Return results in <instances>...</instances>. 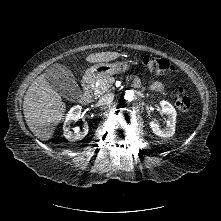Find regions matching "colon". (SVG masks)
Masks as SVG:
<instances>
[{"label":"colon","mask_w":221,"mask_h":221,"mask_svg":"<svg viewBox=\"0 0 221 221\" xmlns=\"http://www.w3.org/2000/svg\"><path fill=\"white\" fill-rule=\"evenodd\" d=\"M142 64L150 71L159 75L169 76L176 71L175 66L172 65L168 60L153 56H144L142 58ZM176 106L182 112H188L191 109V101L185 94V89L183 86H179L178 88Z\"/></svg>","instance_id":"1"}]
</instances>
